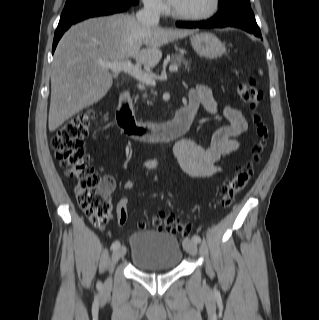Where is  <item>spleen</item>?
Listing matches in <instances>:
<instances>
[{"label": "spleen", "mask_w": 319, "mask_h": 320, "mask_svg": "<svg viewBox=\"0 0 319 320\" xmlns=\"http://www.w3.org/2000/svg\"><path fill=\"white\" fill-rule=\"evenodd\" d=\"M259 73H260L261 75L263 74L261 70H259Z\"/></svg>", "instance_id": "3e777b00"}]
</instances>
